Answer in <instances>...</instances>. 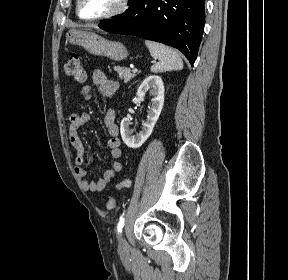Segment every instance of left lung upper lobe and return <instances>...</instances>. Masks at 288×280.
Here are the masks:
<instances>
[{"mask_svg":"<svg viewBox=\"0 0 288 280\" xmlns=\"http://www.w3.org/2000/svg\"><path fill=\"white\" fill-rule=\"evenodd\" d=\"M135 1H136V0H130V1L128 2V5H129V6L132 5Z\"/></svg>","mask_w":288,"mask_h":280,"instance_id":"1","label":"left lung upper lobe"}]
</instances>
